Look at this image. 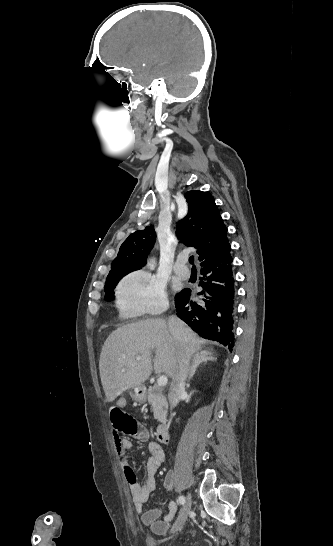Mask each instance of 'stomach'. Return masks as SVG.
Listing matches in <instances>:
<instances>
[{"mask_svg":"<svg viewBox=\"0 0 333 546\" xmlns=\"http://www.w3.org/2000/svg\"><path fill=\"white\" fill-rule=\"evenodd\" d=\"M129 394L135 402L144 403L146 401V390L143 385L132 387Z\"/></svg>","mask_w":333,"mask_h":546,"instance_id":"stomach-1","label":"stomach"}]
</instances>
